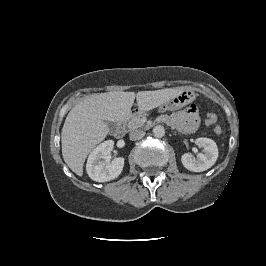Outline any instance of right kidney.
Wrapping results in <instances>:
<instances>
[{
  "label": "right kidney",
  "mask_w": 266,
  "mask_h": 266,
  "mask_svg": "<svg viewBox=\"0 0 266 266\" xmlns=\"http://www.w3.org/2000/svg\"><path fill=\"white\" fill-rule=\"evenodd\" d=\"M113 145L114 142L112 140L105 141L90 153L86 170L92 180L96 182H107L117 178L121 174L124 167V158L118 157L111 162L106 161L113 149Z\"/></svg>",
  "instance_id": "right-kidney-1"
}]
</instances>
